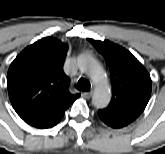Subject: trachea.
Returning <instances> with one entry per match:
<instances>
[{
  "mask_svg": "<svg viewBox=\"0 0 165 154\" xmlns=\"http://www.w3.org/2000/svg\"><path fill=\"white\" fill-rule=\"evenodd\" d=\"M76 88L80 91H89L90 90V82L85 78H80Z\"/></svg>",
  "mask_w": 165,
  "mask_h": 154,
  "instance_id": "3493384b",
  "label": "trachea"
}]
</instances>
